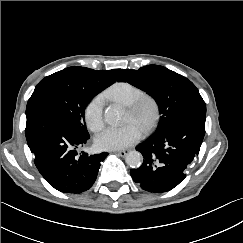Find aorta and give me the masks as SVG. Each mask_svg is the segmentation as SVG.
Wrapping results in <instances>:
<instances>
[{
    "label": "aorta",
    "mask_w": 243,
    "mask_h": 243,
    "mask_svg": "<svg viewBox=\"0 0 243 243\" xmlns=\"http://www.w3.org/2000/svg\"><path fill=\"white\" fill-rule=\"evenodd\" d=\"M123 110L117 105L109 106L104 112V119L110 125H117L122 121ZM127 165L131 168H139L143 158L138 151H130L125 158Z\"/></svg>",
    "instance_id": "aorta-1"
}]
</instances>
